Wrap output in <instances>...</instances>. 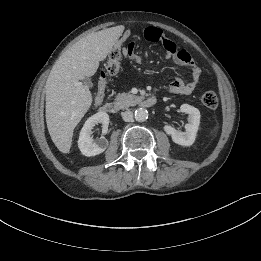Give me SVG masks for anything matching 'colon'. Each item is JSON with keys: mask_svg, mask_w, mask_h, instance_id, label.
<instances>
[{"mask_svg": "<svg viewBox=\"0 0 261 261\" xmlns=\"http://www.w3.org/2000/svg\"><path fill=\"white\" fill-rule=\"evenodd\" d=\"M133 32L127 29L124 32L123 39L119 40L115 48L110 52L104 68L100 71L98 80V91H105L107 78L116 75L121 67L122 51L131 42ZM204 106L215 109L218 106L219 99L214 91H206L201 97Z\"/></svg>", "mask_w": 261, "mask_h": 261, "instance_id": "1", "label": "colon"}]
</instances>
